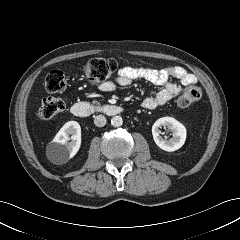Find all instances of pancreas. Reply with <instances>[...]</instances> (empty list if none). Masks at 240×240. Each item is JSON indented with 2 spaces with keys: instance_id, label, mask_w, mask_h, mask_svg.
<instances>
[{
  "instance_id": "pancreas-1",
  "label": "pancreas",
  "mask_w": 240,
  "mask_h": 240,
  "mask_svg": "<svg viewBox=\"0 0 240 240\" xmlns=\"http://www.w3.org/2000/svg\"><path fill=\"white\" fill-rule=\"evenodd\" d=\"M93 104H95V105H97V106L100 105V103H99L98 101H93Z\"/></svg>"
}]
</instances>
